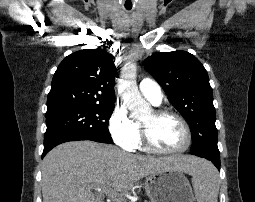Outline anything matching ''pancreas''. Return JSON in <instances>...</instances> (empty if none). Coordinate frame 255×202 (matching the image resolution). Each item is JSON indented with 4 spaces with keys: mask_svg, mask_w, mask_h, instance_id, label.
<instances>
[{
    "mask_svg": "<svg viewBox=\"0 0 255 202\" xmlns=\"http://www.w3.org/2000/svg\"><path fill=\"white\" fill-rule=\"evenodd\" d=\"M115 202H124V199H123L122 197H118V198L115 200ZM145 202H147V201H145Z\"/></svg>",
    "mask_w": 255,
    "mask_h": 202,
    "instance_id": "1",
    "label": "pancreas"
}]
</instances>
